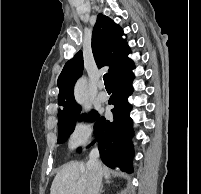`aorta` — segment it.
Returning <instances> with one entry per match:
<instances>
[{
  "instance_id": "1",
  "label": "aorta",
  "mask_w": 201,
  "mask_h": 194,
  "mask_svg": "<svg viewBox=\"0 0 201 194\" xmlns=\"http://www.w3.org/2000/svg\"><path fill=\"white\" fill-rule=\"evenodd\" d=\"M75 98L77 102L83 103L86 99V79L81 78L75 86Z\"/></svg>"
}]
</instances>
